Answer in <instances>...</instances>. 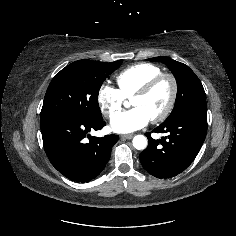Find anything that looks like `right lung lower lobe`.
Wrapping results in <instances>:
<instances>
[{"instance_id":"98d812e1","label":"right lung lower lobe","mask_w":236,"mask_h":236,"mask_svg":"<svg viewBox=\"0 0 236 236\" xmlns=\"http://www.w3.org/2000/svg\"><path fill=\"white\" fill-rule=\"evenodd\" d=\"M103 118L88 120L72 114H56L40 121L46 155L60 173L77 181L88 182L104 169L118 135L90 137L88 132L100 130ZM89 138L86 143L85 138Z\"/></svg>"}]
</instances>
